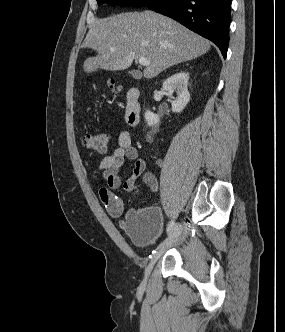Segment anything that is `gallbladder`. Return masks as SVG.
<instances>
[{
    "instance_id": "bac80fb5",
    "label": "gallbladder",
    "mask_w": 285,
    "mask_h": 332,
    "mask_svg": "<svg viewBox=\"0 0 285 332\" xmlns=\"http://www.w3.org/2000/svg\"><path fill=\"white\" fill-rule=\"evenodd\" d=\"M131 74V76L135 79H140L142 74L137 71V70H132L131 72H129Z\"/></svg>"
}]
</instances>
